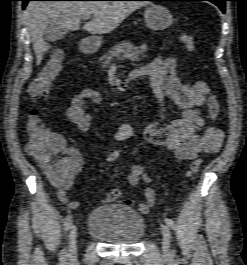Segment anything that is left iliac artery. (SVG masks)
<instances>
[{
  "label": "left iliac artery",
  "instance_id": "1",
  "mask_svg": "<svg viewBox=\"0 0 247 265\" xmlns=\"http://www.w3.org/2000/svg\"><path fill=\"white\" fill-rule=\"evenodd\" d=\"M165 223L171 228V229H175V223L172 219L170 218H165ZM173 253H175V251H173Z\"/></svg>",
  "mask_w": 247,
  "mask_h": 265
}]
</instances>
